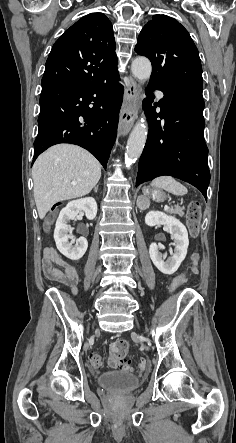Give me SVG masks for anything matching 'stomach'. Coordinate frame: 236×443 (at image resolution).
<instances>
[{
  "label": "stomach",
  "instance_id": "1",
  "mask_svg": "<svg viewBox=\"0 0 236 443\" xmlns=\"http://www.w3.org/2000/svg\"><path fill=\"white\" fill-rule=\"evenodd\" d=\"M144 196L152 198L156 202H162L165 200L166 195L159 189H151L148 187L143 188Z\"/></svg>",
  "mask_w": 236,
  "mask_h": 443
}]
</instances>
